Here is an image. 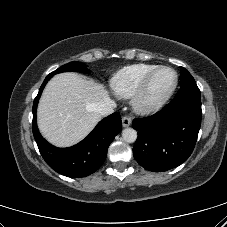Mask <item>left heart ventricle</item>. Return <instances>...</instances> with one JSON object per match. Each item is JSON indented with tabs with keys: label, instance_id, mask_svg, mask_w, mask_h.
<instances>
[{
	"label": "left heart ventricle",
	"instance_id": "b2bd125f",
	"mask_svg": "<svg viewBox=\"0 0 227 227\" xmlns=\"http://www.w3.org/2000/svg\"><path fill=\"white\" fill-rule=\"evenodd\" d=\"M175 74L165 69L160 71L154 78L148 92V99L154 100L166 93L174 84Z\"/></svg>",
	"mask_w": 227,
	"mask_h": 227
}]
</instances>
